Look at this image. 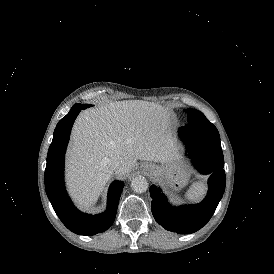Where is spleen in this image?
Segmentation results:
<instances>
[{"label":"spleen","instance_id":"obj_1","mask_svg":"<svg viewBox=\"0 0 274 274\" xmlns=\"http://www.w3.org/2000/svg\"><path fill=\"white\" fill-rule=\"evenodd\" d=\"M206 192V185L203 181H196L190 186L185 196L190 201H199Z\"/></svg>","mask_w":274,"mask_h":274}]
</instances>
